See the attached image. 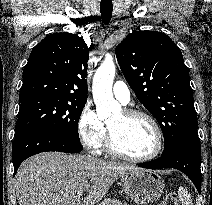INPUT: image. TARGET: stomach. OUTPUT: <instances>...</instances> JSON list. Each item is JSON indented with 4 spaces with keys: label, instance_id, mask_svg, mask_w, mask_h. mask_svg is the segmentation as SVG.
<instances>
[{
    "label": "stomach",
    "instance_id": "stomach-1",
    "mask_svg": "<svg viewBox=\"0 0 212 205\" xmlns=\"http://www.w3.org/2000/svg\"><path fill=\"white\" fill-rule=\"evenodd\" d=\"M121 187L127 198L138 205H149L161 197L165 182L162 177L150 170L135 169L121 177Z\"/></svg>",
    "mask_w": 212,
    "mask_h": 205
}]
</instances>
